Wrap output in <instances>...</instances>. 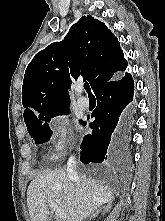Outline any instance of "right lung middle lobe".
Returning a JSON list of instances; mask_svg holds the SVG:
<instances>
[{
  "instance_id": "right-lung-middle-lobe-1",
  "label": "right lung middle lobe",
  "mask_w": 165,
  "mask_h": 221,
  "mask_svg": "<svg viewBox=\"0 0 165 221\" xmlns=\"http://www.w3.org/2000/svg\"><path fill=\"white\" fill-rule=\"evenodd\" d=\"M68 108V107H67ZM63 108L55 111H51L48 113H45L41 116H39L37 119H35L32 122L27 123V130L31 137L35 140L36 144H41L44 142H47L51 135L52 131L48 125V121L51 120V118L59 115V114H65L68 113V109ZM82 124L83 121H80Z\"/></svg>"
}]
</instances>
